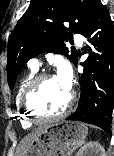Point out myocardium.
Here are the masks:
<instances>
[{
	"label": "myocardium",
	"instance_id": "f54148a6",
	"mask_svg": "<svg viewBox=\"0 0 114 156\" xmlns=\"http://www.w3.org/2000/svg\"><path fill=\"white\" fill-rule=\"evenodd\" d=\"M55 77L53 74L48 73V72H44V73H40L35 75L26 85L22 96H21V107L22 110L24 111L25 115L27 116V118L34 122V123H39V122H45V121H52V120H58L61 119L63 117H65L73 103H74V94L72 92L69 93V98H68V102L66 104V106L64 107V109L62 111H60L57 114L54 115H41L38 114L30 105V98L33 95V93L36 91V89L39 87V85L50 78Z\"/></svg>",
	"mask_w": 114,
	"mask_h": 156
}]
</instances>
